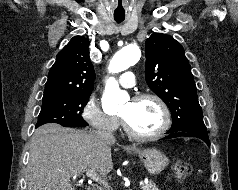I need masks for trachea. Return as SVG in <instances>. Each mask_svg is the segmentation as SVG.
I'll use <instances>...</instances> for the list:
<instances>
[{"label": "trachea", "mask_w": 238, "mask_h": 190, "mask_svg": "<svg viewBox=\"0 0 238 190\" xmlns=\"http://www.w3.org/2000/svg\"><path fill=\"white\" fill-rule=\"evenodd\" d=\"M115 21H116L117 23H121L122 21H124V19L115 18Z\"/></svg>", "instance_id": "trachea-1"}]
</instances>
